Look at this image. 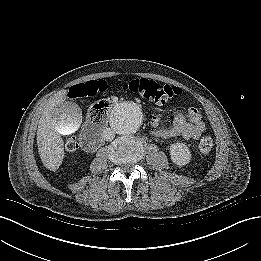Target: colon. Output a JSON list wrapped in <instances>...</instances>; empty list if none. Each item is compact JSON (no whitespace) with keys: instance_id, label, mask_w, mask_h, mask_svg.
I'll use <instances>...</instances> for the list:
<instances>
[{"instance_id":"colon-1","label":"colon","mask_w":261,"mask_h":261,"mask_svg":"<svg viewBox=\"0 0 261 261\" xmlns=\"http://www.w3.org/2000/svg\"><path fill=\"white\" fill-rule=\"evenodd\" d=\"M115 89L139 95L146 100L157 104L166 103L180 95L181 90L177 86L161 84L146 78L133 79L121 84L112 85ZM109 84L104 80H91L82 84L75 85L70 90V95L76 98L91 97L105 92ZM111 104L108 101H98L93 104L88 111V120L92 125H98L107 118ZM213 140L206 136L199 142V150L206 154L211 151ZM79 143L75 138H70L66 142V149L69 152L78 150Z\"/></svg>"}]
</instances>
